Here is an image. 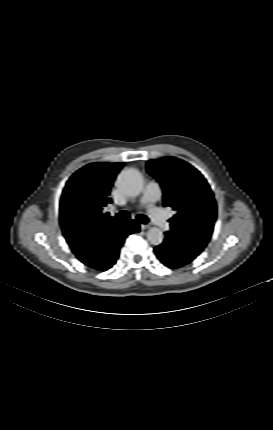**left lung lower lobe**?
<instances>
[{
	"instance_id": "0a47b994",
	"label": "left lung lower lobe",
	"mask_w": 273,
	"mask_h": 430,
	"mask_svg": "<svg viewBox=\"0 0 273 430\" xmlns=\"http://www.w3.org/2000/svg\"><path fill=\"white\" fill-rule=\"evenodd\" d=\"M154 251L158 259L169 268H179L191 261L198 255L187 253L181 250L174 241L173 235L166 232L162 244L156 246Z\"/></svg>"
}]
</instances>
